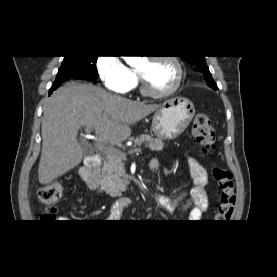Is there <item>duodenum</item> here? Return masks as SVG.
Masks as SVG:
<instances>
[{
  "label": "duodenum",
  "instance_id": "duodenum-1",
  "mask_svg": "<svg viewBox=\"0 0 277 277\" xmlns=\"http://www.w3.org/2000/svg\"><path fill=\"white\" fill-rule=\"evenodd\" d=\"M100 165V156L94 154L87 157L80 168V177L90 190H98L100 188L98 178L95 175V172L99 169Z\"/></svg>",
  "mask_w": 277,
  "mask_h": 277
}]
</instances>
